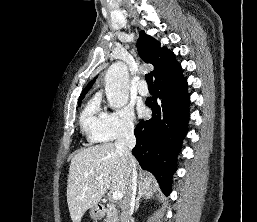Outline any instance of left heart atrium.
I'll list each match as a JSON object with an SVG mask.
<instances>
[{
	"instance_id": "left-heart-atrium-1",
	"label": "left heart atrium",
	"mask_w": 257,
	"mask_h": 222,
	"mask_svg": "<svg viewBox=\"0 0 257 222\" xmlns=\"http://www.w3.org/2000/svg\"><path fill=\"white\" fill-rule=\"evenodd\" d=\"M138 113L140 116L144 115L145 113V108L143 106H139L138 107Z\"/></svg>"
}]
</instances>
